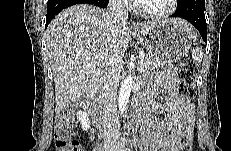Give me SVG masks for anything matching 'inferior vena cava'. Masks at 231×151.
I'll use <instances>...</instances> for the list:
<instances>
[{
    "label": "inferior vena cava",
    "instance_id": "inferior-vena-cava-1",
    "mask_svg": "<svg viewBox=\"0 0 231 151\" xmlns=\"http://www.w3.org/2000/svg\"><path fill=\"white\" fill-rule=\"evenodd\" d=\"M126 0H110L107 7V15L115 23L126 22L128 12L125 8ZM119 62H112L106 69L103 78L102 100V123L104 127L105 144L116 142L119 134L117 116V89Z\"/></svg>",
    "mask_w": 231,
    "mask_h": 151
}]
</instances>
